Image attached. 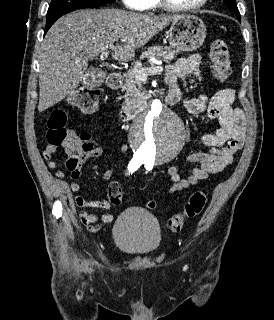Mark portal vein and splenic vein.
Returning a JSON list of instances; mask_svg holds the SVG:
<instances>
[{"label": "portal vein and splenic vein", "instance_id": "18ae733b", "mask_svg": "<svg viewBox=\"0 0 274 320\" xmlns=\"http://www.w3.org/2000/svg\"><path fill=\"white\" fill-rule=\"evenodd\" d=\"M109 52H101L99 58L101 62H104L106 58H108ZM157 66H152V68H137V70H134L132 74L136 76L137 80H140V78H145V76H148L152 70H163L162 62H156Z\"/></svg>", "mask_w": 274, "mask_h": 320}]
</instances>
